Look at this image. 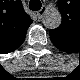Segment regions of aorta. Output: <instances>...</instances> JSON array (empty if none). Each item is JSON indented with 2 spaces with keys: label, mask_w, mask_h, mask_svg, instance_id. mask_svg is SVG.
Wrapping results in <instances>:
<instances>
[{
  "label": "aorta",
  "mask_w": 80,
  "mask_h": 80,
  "mask_svg": "<svg viewBox=\"0 0 80 80\" xmlns=\"http://www.w3.org/2000/svg\"><path fill=\"white\" fill-rule=\"evenodd\" d=\"M61 19L62 17L58 10L48 12L45 17L46 24L52 28H57L61 23Z\"/></svg>",
  "instance_id": "1"
}]
</instances>
